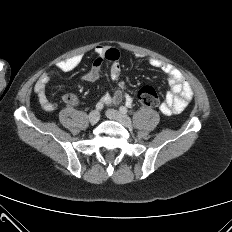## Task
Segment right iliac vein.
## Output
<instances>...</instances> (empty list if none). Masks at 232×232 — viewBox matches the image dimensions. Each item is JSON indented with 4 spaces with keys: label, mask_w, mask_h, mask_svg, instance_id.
<instances>
[{
    "label": "right iliac vein",
    "mask_w": 232,
    "mask_h": 232,
    "mask_svg": "<svg viewBox=\"0 0 232 232\" xmlns=\"http://www.w3.org/2000/svg\"><path fill=\"white\" fill-rule=\"evenodd\" d=\"M89 122L91 124H96L99 119H100V114L98 111L94 110L92 112H90L89 116H88Z\"/></svg>",
    "instance_id": "1"
}]
</instances>
